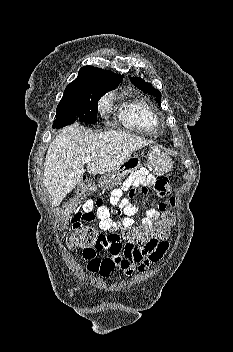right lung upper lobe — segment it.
<instances>
[{"mask_svg": "<svg viewBox=\"0 0 233 352\" xmlns=\"http://www.w3.org/2000/svg\"><path fill=\"white\" fill-rule=\"evenodd\" d=\"M123 79V75L93 66H84L79 70L78 77L67 85L64 95L80 91L84 87L99 86L113 90Z\"/></svg>", "mask_w": 233, "mask_h": 352, "instance_id": "right-lung-upper-lobe-1", "label": "right lung upper lobe"}]
</instances>
